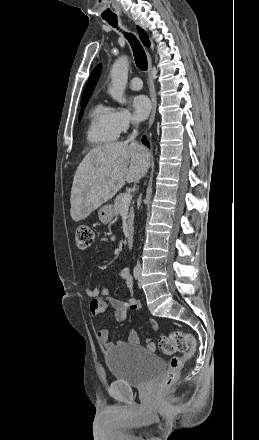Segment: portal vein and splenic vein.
I'll list each match as a JSON object with an SVG mask.
<instances>
[{"mask_svg": "<svg viewBox=\"0 0 259 440\" xmlns=\"http://www.w3.org/2000/svg\"><path fill=\"white\" fill-rule=\"evenodd\" d=\"M132 195L128 193L126 196L123 197L122 203L124 206H128L131 203Z\"/></svg>", "mask_w": 259, "mask_h": 440, "instance_id": "1", "label": "portal vein and splenic vein"}]
</instances>
